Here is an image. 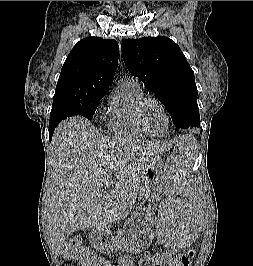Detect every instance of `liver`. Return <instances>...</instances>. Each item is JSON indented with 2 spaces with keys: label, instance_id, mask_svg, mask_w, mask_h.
<instances>
[{
  "label": "liver",
  "instance_id": "1",
  "mask_svg": "<svg viewBox=\"0 0 253 266\" xmlns=\"http://www.w3.org/2000/svg\"><path fill=\"white\" fill-rule=\"evenodd\" d=\"M52 144L58 174L50 222L57 254L74 231H97L124 220L136 203L147 167L170 149L164 141L101 136L81 116L62 121Z\"/></svg>",
  "mask_w": 253,
  "mask_h": 266
}]
</instances>
